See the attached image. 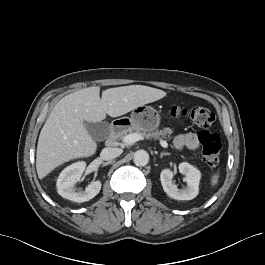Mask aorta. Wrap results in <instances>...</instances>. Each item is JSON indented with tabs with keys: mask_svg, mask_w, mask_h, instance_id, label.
Wrapping results in <instances>:
<instances>
[{
	"mask_svg": "<svg viewBox=\"0 0 265 265\" xmlns=\"http://www.w3.org/2000/svg\"><path fill=\"white\" fill-rule=\"evenodd\" d=\"M133 161L137 166H146L149 162V154L145 150H138L134 153Z\"/></svg>",
	"mask_w": 265,
	"mask_h": 265,
	"instance_id": "obj_1",
	"label": "aorta"
}]
</instances>
